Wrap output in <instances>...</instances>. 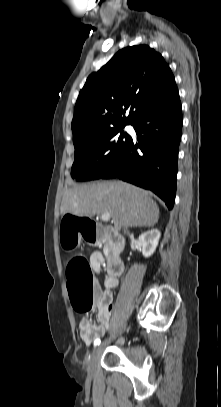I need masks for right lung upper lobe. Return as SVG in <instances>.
Wrapping results in <instances>:
<instances>
[{
	"label": "right lung upper lobe",
	"instance_id": "cb5924a9",
	"mask_svg": "<svg viewBox=\"0 0 221 407\" xmlns=\"http://www.w3.org/2000/svg\"><path fill=\"white\" fill-rule=\"evenodd\" d=\"M175 87L171 69L154 49L138 45L120 50L87 78L80 91L72 120L73 143L133 124Z\"/></svg>",
	"mask_w": 221,
	"mask_h": 407
}]
</instances>
